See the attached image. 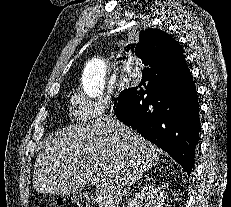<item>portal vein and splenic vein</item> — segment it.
Instances as JSON below:
<instances>
[{
	"label": "portal vein and splenic vein",
	"mask_w": 231,
	"mask_h": 207,
	"mask_svg": "<svg viewBox=\"0 0 231 207\" xmlns=\"http://www.w3.org/2000/svg\"><path fill=\"white\" fill-rule=\"evenodd\" d=\"M93 181H94V182H98L99 180H98V179H94Z\"/></svg>",
	"instance_id": "portal-vein-and-splenic-vein-1"
}]
</instances>
